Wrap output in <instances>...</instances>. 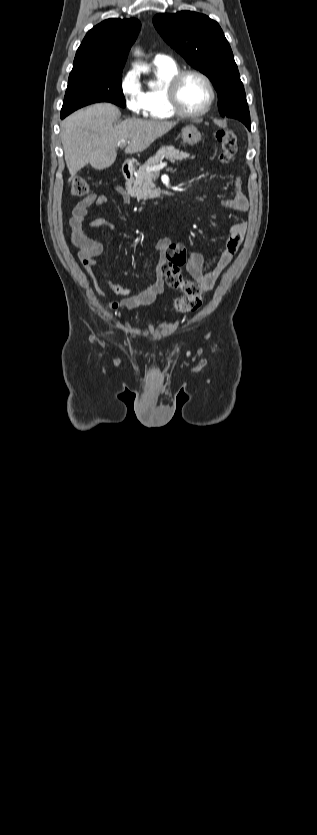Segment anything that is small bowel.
Returning <instances> with one entry per match:
<instances>
[{
    "label": "small bowel",
    "instance_id": "1",
    "mask_svg": "<svg viewBox=\"0 0 317 835\" xmlns=\"http://www.w3.org/2000/svg\"><path fill=\"white\" fill-rule=\"evenodd\" d=\"M118 191L122 194L125 203L130 201L120 188ZM108 199L105 195H97L90 193L80 200L73 208L72 215L69 221L70 237L74 245L79 248V258L83 266L94 277L97 288L101 295H104L100 288L98 279L96 277L97 257L102 255L104 251L103 245L90 238L86 234L88 228H107L108 230L117 233L116 225L106 218H95L86 222L88 209L93 206L105 205ZM222 204L235 211L245 212L248 210V200L242 190V182L238 177L234 183V193L230 199L224 200ZM245 233V226L242 223H235L229 229V236L225 247L222 250L219 260L215 268L204 273V259L199 253L188 254L186 247L181 243L173 242L169 238L160 239L155 248L159 255V264L166 260H180L182 264H186L188 274L200 285L203 291H210L225 268L231 263L234 255L237 253ZM106 286L116 295L123 296L120 301L109 302V307L112 309L124 308L131 310L141 303H144L148 296H156L164 291V277L158 271L155 281L150 284L143 291H136L133 288L124 287L120 284L106 279Z\"/></svg>",
    "mask_w": 317,
    "mask_h": 835
}]
</instances>
